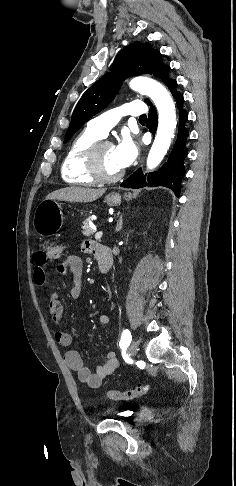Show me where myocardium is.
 Returning <instances> with one entry per match:
<instances>
[{"label": "myocardium", "mask_w": 236, "mask_h": 486, "mask_svg": "<svg viewBox=\"0 0 236 486\" xmlns=\"http://www.w3.org/2000/svg\"><path fill=\"white\" fill-rule=\"evenodd\" d=\"M113 144L108 140H98L94 142L86 152L85 167L88 175L97 183H115L119 181L124 171L115 175H107L104 173L101 165L100 153L103 147Z\"/></svg>", "instance_id": "obj_1"}]
</instances>
